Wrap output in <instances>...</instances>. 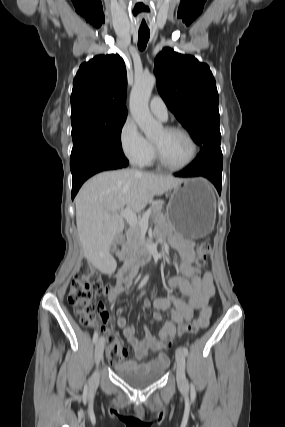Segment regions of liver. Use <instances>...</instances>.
Instances as JSON below:
<instances>
[{
  "instance_id": "1",
  "label": "liver",
  "mask_w": 285,
  "mask_h": 427,
  "mask_svg": "<svg viewBox=\"0 0 285 427\" xmlns=\"http://www.w3.org/2000/svg\"><path fill=\"white\" fill-rule=\"evenodd\" d=\"M181 182L173 176L134 169L102 172L88 180L75 199L77 230L87 260L99 269L113 261L111 244L124 230L119 210L126 207L138 213L154 196Z\"/></svg>"
}]
</instances>
